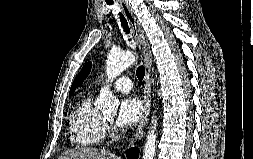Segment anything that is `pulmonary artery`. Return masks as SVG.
I'll return each instance as SVG.
<instances>
[{
    "mask_svg": "<svg viewBox=\"0 0 253 159\" xmlns=\"http://www.w3.org/2000/svg\"><path fill=\"white\" fill-rule=\"evenodd\" d=\"M113 86L120 92H128L132 89L133 84L128 77H119L114 81Z\"/></svg>",
    "mask_w": 253,
    "mask_h": 159,
    "instance_id": "1",
    "label": "pulmonary artery"
}]
</instances>
